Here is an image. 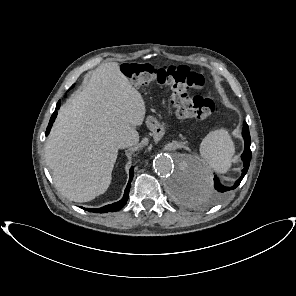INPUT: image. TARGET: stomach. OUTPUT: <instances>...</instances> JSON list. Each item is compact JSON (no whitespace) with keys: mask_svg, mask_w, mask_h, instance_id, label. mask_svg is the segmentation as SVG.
I'll return each mask as SVG.
<instances>
[{"mask_svg":"<svg viewBox=\"0 0 296 296\" xmlns=\"http://www.w3.org/2000/svg\"><path fill=\"white\" fill-rule=\"evenodd\" d=\"M147 125L152 131V137L155 139L156 143L163 141L167 137V130L160 126V123L153 117L147 119Z\"/></svg>","mask_w":296,"mask_h":296,"instance_id":"1","label":"stomach"}]
</instances>
